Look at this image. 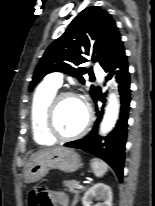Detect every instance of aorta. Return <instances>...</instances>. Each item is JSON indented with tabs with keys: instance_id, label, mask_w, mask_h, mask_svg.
Returning a JSON list of instances; mask_svg holds the SVG:
<instances>
[{
	"instance_id": "obj_1",
	"label": "aorta",
	"mask_w": 155,
	"mask_h": 206,
	"mask_svg": "<svg viewBox=\"0 0 155 206\" xmlns=\"http://www.w3.org/2000/svg\"><path fill=\"white\" fill-rule=\"evenodd\" d=\"M119 113V103L115 94H111L109 97V104L106 108L103 121L101 123V133L105 134L109 132L115 125L116 119Z\"/></svg>"
}]
</instances>
